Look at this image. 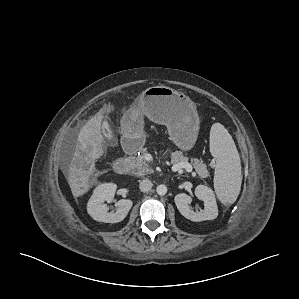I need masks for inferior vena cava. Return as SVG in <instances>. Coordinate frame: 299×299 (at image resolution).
<instances>
[{
	"label": "inferior vena cava",
	"mask_w": 299,
	"mask_h": 299,
	"mask_svg": "<svg viewBox=\"0 0 299 299\" xmlns=\"http://www.w3.org/2000/svg\"><path fill=\"white\" fill-rule=\"evenodd\" d=\"M153 184L149 179H143L140 184H139V188L142 192H148L151 190Z\"/></svg>",
	"instance_id": "obj_1"
}]
</instances>
